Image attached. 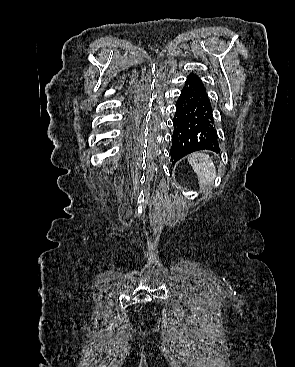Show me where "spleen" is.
Returning a JSON list of instances; mask_svg holds the SVG:
<instances>
[{
  "instance_id": "3e777b00",
  "label": "spleen",
  "mask_w": 295,
  "mask_h": 367,
  "mask_svg": "<svg viewBox=\"0 0 295 367\" xmlns=\"http://www.w3.org/2000/svg\"><path fill=\"white\" fill-rule=\"evenodd\" d=\"M188 161L198 176L200 188L207 190L216 177V168L211 157L203 152H195L188 156Z\"/></svg>"
}]
</instances>
